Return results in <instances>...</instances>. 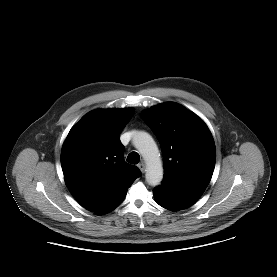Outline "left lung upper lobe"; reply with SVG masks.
<instances>
[{
    "instance_id": "5c2ea615",
    "label": "left lung upper lobe",
    "mask_w": 277,
    "mask_h": 277,
    "mask_svg": "<svg viewBox=\"0 0 277 277\" xmlns=\"http://www.w3.org/2000/svg\"><path fill=\"white\" fill-rule=\"evenodd\" d=\"M141 116L162 148V184L203 193L216 161L215 144L207 125L195 113L172 102L154 106Z\"/></svg>"
}]
</instances>
